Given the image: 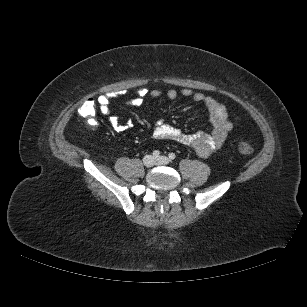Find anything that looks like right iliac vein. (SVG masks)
I'll return each instance as SVG.
<instances>
[{"label":"right iliac vein","instance_id":"obj_1","mask_svg":"<svg viewBox=\"0 0 307 307\" xmlns=\"http://www.w3.org/2000/svg\"><path fill=\"white\" fill-rule=\"evenodd\" d=\"M143 164H144L146 167H152V166L155 164L154 157H153L152 155H146V156L143 158Z\"/></svg>","mask_w":307,"mask_h":307}]
</instances>
